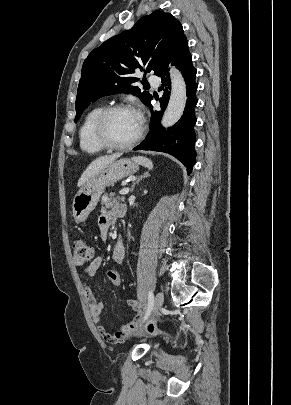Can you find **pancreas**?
Instances as JSON below:
<instances>
[{
  "mask_svg": "<svg viewBox=\"0 0 291 405\" xmlns=\"http://www.w3.org/2000/svg\"><path fill=\"white\" fill-rule=\"evenodd\" d=\"M121 201H125L124 197L116 196L115 193H110L109 196L106 194L102 198V209L113 208V206L117 205Z\"/></svg>",
  "mask_w": 291,
  "mask_h": 405,
  "instance_id": "cf45deb5",
  "label": "pancreas"
}]
</instances>
